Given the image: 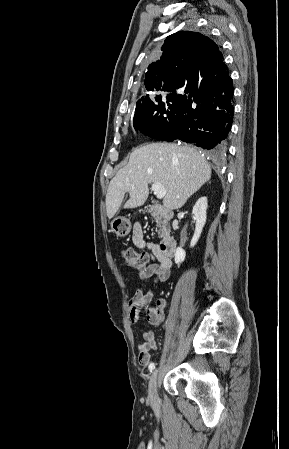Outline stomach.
I'll use <instances>...</instances> for the list:
<instances>
[{
	"label": "stomach",
	"mask_w": 289,
	"mask_h": 449,
	"mask_svg": "<svg viewBox=\"0 0 289 449\" xmlns=\"http://www.w3.org/2000/svg\"><path fill=\"white\" fill-rule=\"evenodd\" d=\"M111 228L117 236L125 237L130 233L132 226L128 218L119 216L111 222Z\"/></svg>",
	"instance_id": "stomach-1"
}]
</instances>
